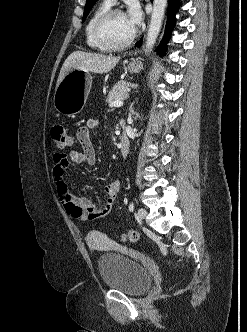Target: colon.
Wrapping results in <instances>:
<instances>
[{"mask_svg":"<svg viewBox=\"0 0 247 332\" xmlns=\"http://www.w3.org/2000/svg\"><path fill=\"white\" fill-rule=\"evenodd\" d=\"M51 138L54 144V147L58 150L66 149L71 146L72 138L63 124H55L51 128ZM140 238V234L135 229L128 230L123 234L122 239L129 242H137Z\"/></svg>","mask_w":247,"mask_h":332,"instance_id":"5ec220e1","label":"colon"}]
</instances>
